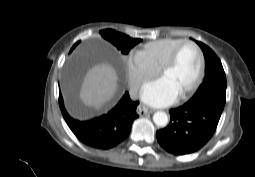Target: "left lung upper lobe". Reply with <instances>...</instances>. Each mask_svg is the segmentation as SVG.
Segmentation results:
<instances>
[{
    "label": "left lung upper lobe",
    "instance_id": "5c2ea615",
    "mask_svg": "<svg viewBox=\"0 0 255 177\" xmlns=\"http://www.w3.org/2000/svg\"><path fill=\"white\" fill-rule=\"evenodd\" d=\"M197 44L201 47L205 57L206 75L203 83L189 102L197 103L205 99H217L225 104L226 76L221 61L208 46L199 41Z\"/></svg>",
    "mask_w": 255,
    "mask_h": 177
}]
</instances>
